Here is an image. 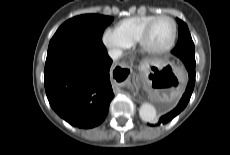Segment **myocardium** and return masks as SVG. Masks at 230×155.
<instances>
[{
    "mask_svg": "<svg viewBox=\"0 0 230 155\" xmlns=\"http://www.w3.org/2000/svg\"><path fill=\"white\" fill-rule=\"evenodd\" d=\"M163 18L170 20L173 24L172 38H171L170 42L165 47L160 48V49H152V48L147 46V38H148L149 32H150L153 24L157 20L163 19ZM177 35H178V25H177V22L175 21V19L169 15L161 14V15L155 16L151 21H149L145 25V27L143 28L137 42H138L141 50L144 53L149 54V55L158 56V55H163V54L169 52L174 47L176 40H177Z\"/></svg>",
    "mask_w": 230,
    "mask_h": 155,
    "instance_id": "myocardium-1",
    "label": "myocardium"
}]
</instances>
